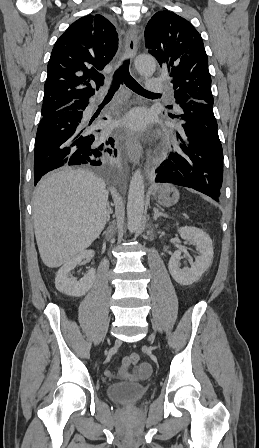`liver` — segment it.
<instances>
[{
    "label": "liver",
    "instance_id": "6515ba94",
    "mask_svg": "<svg viewBox=\"0 0 259 448\" xmlns=\"http://www.w3.org/2000/svg\"><path fill=\"white\" fill-rule=\"evenodd\" d=\"M108 196L104 180L88 170L66 168L40 180L32 206L45 266L59 268L99 238L107 222Z\"/></svg>",
    "mask_w": 259,
    "mask_h": 448
}]
</instances>
